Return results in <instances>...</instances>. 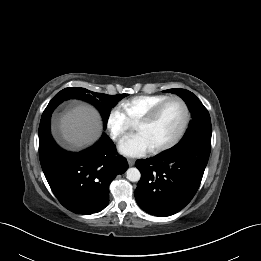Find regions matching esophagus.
<instances>
[{"instance_id": "1", "label": "esophagus", "mask_w": 261, "mask_h": 261, "mask_svg": "<svg viewBox=\"0 0 261 261\" xmlns=\"http://www.w3.org/2000/svg\"><path fill=\"white\" fill-rule=\"evenodd\" d=\"M127 162L129 164V166H133L135 164V160L134 159H127Z\"/></svg>"}]
</instances>
